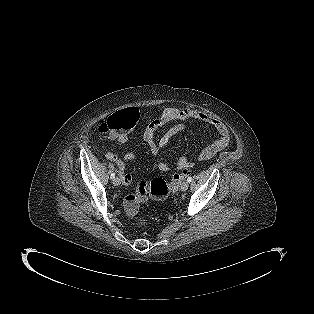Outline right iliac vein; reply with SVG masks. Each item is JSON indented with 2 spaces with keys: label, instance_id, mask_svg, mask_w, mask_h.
I'll use <instances>...</instances> for the list:
<instances>
[{
  "label": "right iliac vein",
  "instance_id": "right-iliac-vein-1",
  "mask_svg": "<svg viewBox=\"0 0 314 314\" xmlns=\"http://www.w3.org/2000/svg\"><path fill=\"white\" fill-rule=\"evenodd\" d=\"M113 184H114L115 186H119V185L121 184L120 178H119V177L114 178V179H113Z\"/></svg>",
  "mask_w": 314,
  "mask_h": 314
}]
</instances>
